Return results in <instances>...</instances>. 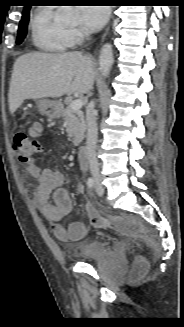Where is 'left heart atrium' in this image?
<instances>
[{"label": "left heart atrium", "instance_id": "obj_1", "mask_svg": "<svg viewBox=\"0 0 184 327\" xmlns=\"http://www.w3.org/2000/svg\"><path fill=\"white\" fill-rule=\"evenodd\" d=\"M79 21L82 27L90 32L98 31L109 17V9L106 7H93L85 5L78 9Z\"/></svg>", "mask_w": 184, "mask_h": 327}]
</instances>
